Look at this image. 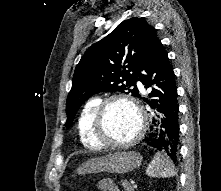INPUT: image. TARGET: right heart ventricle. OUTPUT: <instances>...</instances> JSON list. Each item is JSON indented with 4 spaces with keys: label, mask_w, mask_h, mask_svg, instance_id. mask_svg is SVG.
<instances>
[{
    "label": "right heart ventricle",
    "mask_w": 221,
    "mask_h": 191,
    "mask_svg": "<svg viewBox=\"0 0 221 191\" xmlns=\"http://www.w3.org/2000/svg\"><path fill=\"white\" fill-rule=\"evenodd\" d=\"M100 97H93L83 105L77 120V131L81 143L87 148H100L94 135V117L101 103Z\"/></svg>",
    "instance_id": "right-heart-ventricle-1"
}]
</instances>
